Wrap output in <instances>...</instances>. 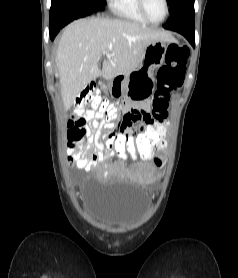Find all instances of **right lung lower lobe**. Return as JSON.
I'll list each match as a JSON object with an SVG mask.
<instances>
[{
	"mask_svg": "<svg viewBox=\"0 0 238 278\" xmlns=\"http://www.w3.org/2000/svg\"><path fill=\"white\" fill-rule=\"evenodd\" d=\"M98 11L77 0H52L50 8L51 40L54 39L60 29L71 21Z\"/></svg>",
	"mask_w": 238,
	"mask_h": 278,
	"instance_id": "98d812e1",
	"label": "right lung lower lobe"
}]
</instances>
